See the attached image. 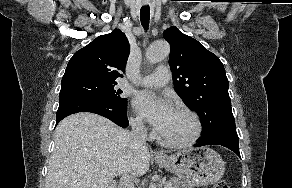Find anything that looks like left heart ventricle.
Wrapping results in <instances>:
<instances>
[{
	"label": "left heart ventricle",
	"instance_id": "1",
	"mask_svg": "<svg viewBox=\"0 0 292 188\" xmlns=\"http://www.w3.org/2000/svg\"><path fill=\"white\" fill-rule=\"evenodd\" d=\"M194 132V124L192 119L177 110H173L172 114L166 121L159 133L166 139L180 141L187 139Z\"/></svg>",
	"mask_w": 292,
	"mask_h": 188
}]
</instances>
